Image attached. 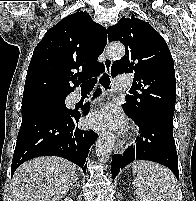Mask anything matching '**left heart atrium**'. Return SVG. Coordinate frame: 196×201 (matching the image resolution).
I'll use <instances>...</instances> for the list:
<instances>
[{
  "instance_id": "left-heart-atrium-1",
  "label": "left heart atrium",
  "mask_w": 196,
  "mask_h": 201,
  "mask_svg": "<svg viewBox=\"0 0 196 201\" xmlns=\"http://www.w3.org/2000/svg\"><path fill=\"white\" fill-rule=\"evenodd\" d=\"M88 123L94 128H121L123 120L118 111L111 106L97 110L88 117Z\"/></svg>"
}]
</instances>
